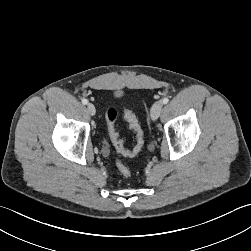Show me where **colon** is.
Returning a JSON list of instances; mask_svg holds the SVG:
<instances>
[{
  "label": "colon",
  "mask_w": 251,
  "mask_h": 251,
  "mask_svg": "<svg viewBox=\"0 0 251 251\" xmlns=\"http://www.w3.org/2000/svg\"><path fill=\"white\" fill-rule=\"evenodd\" d=\"M117 117V111L114 108H110L106 112V120L109 126V134L112 140V143L116 150L122 153L125 156H135L138 154L143 146V130L136 118V116L130 111L125 110L124 117L129 124L130 129L133 131L135 135V144L132 148L125 147L123 141L120 139L115 127L114 123ZM116 167L119 173L124 178H130L132 175L131 170L128 166H126L121 160H116Z\"/></svg>",
  "instance_id": "colon-1"
}]
</instances>
